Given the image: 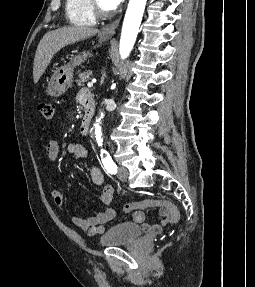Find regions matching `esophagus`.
I'll return each instance as SVG.
<instances>
[{
  "label": "esophagus",
  "mask_w": 255,
  "mask_h": 287,
  "mask_svg": "<svg viewBox=\"0 0 255 287\" xmlns=\"http://www.w3.org/2000/svg\"><path fill=\"white\" fill-rule=\"evenodd\" d=\"M120 19L118 18L112 23H108L101 28L100 34L106 37H112L115 34L116 28L118 27Z\"/></svg>",
  "instance_id": "obj_1"
}]
</instances>
